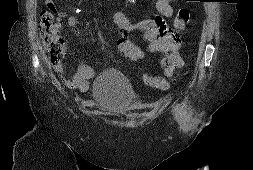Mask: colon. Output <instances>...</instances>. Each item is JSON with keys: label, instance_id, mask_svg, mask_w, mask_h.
<instances>
[{"label": "colon", "instance_id": "colon-1", "mask_svg": "<svg viewBox=\"0 0 253 170\" xmlns=\"http://www.w3.org/2000/svg\"><path fill=\"white\" fill-rule=\"evenodd\" d=\"M178 27H183L189 20V11L181 8L178 12ZM40 28L44 35L45 46L50 60L54 63L60 62L65 55L64 39L54 30V17L51 13L43 11L40 16ZM149 85L158 87L159 83L149 79Z\"/></svg>", "mask_w": 253, "mask_h": 170}]
</instances>
